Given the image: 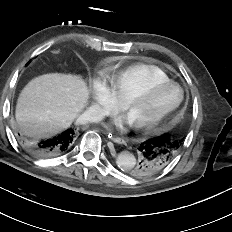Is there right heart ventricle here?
I'll return each instance as SVG.
<instances>
[{"label":"right heart ventricle","instance_id":"right-heart-ventricle-1","mask_svg":"<svg viewBox=\"0 0 232 232\" xmlns=\"http://www.w3.org/2000/svg\"><path fill=\"white\" fill-rule=\"evenodd\" d=\"M104 76L114 95L121 102L134 93L170 80L169 76L158 66L142 63L124 68L106 65Z\"/></svg>","mask_w":232,"mask_h":232}]
</instances>
